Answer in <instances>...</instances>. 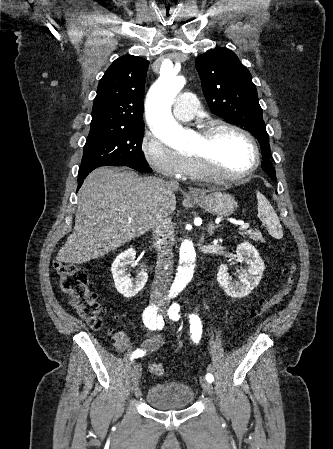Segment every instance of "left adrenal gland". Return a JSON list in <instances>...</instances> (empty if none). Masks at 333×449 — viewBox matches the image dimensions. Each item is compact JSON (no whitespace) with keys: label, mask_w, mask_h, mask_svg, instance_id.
Here are the masks:
<instances>
[{"label":"left adrenal gland","mask_w":333,"mask_h":449,"mask_svg":"<svg viewBox=\"0 0 333 449\" xmlns=\"http://www.w3.org/2000/svg\"><path fill=\"white\" fill-rule=\"evenodd\" d=\"M215 228H217V226H215V224H213V222H211V223L209 224V227H208V230H207L208 233H209L210 235L213 234Z\"/></svg>","instance_id":"obj_1"}]
</instances>
